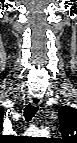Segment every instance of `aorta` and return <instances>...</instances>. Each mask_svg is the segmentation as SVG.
<instances>
[{
	"label": "aorta",
	"instance_id": "aorta-1",
	"mask_svg": "<svg viewBox=\"0 0 77 143\" xmlns=\"http://www.w3.org/2000/svg\"><path fill=\"white\" fill-rule=\"evenodd\" d=\"M46 133H47V131L45 129H41L37 132L38 135H44Z\"/></svg>",
	"mask_w": 77,
	"mask_h": 143
}]
</instances>
